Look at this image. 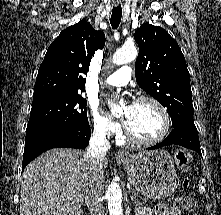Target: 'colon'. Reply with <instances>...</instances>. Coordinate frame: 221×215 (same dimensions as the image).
<instances>
[{
	"instance_id": "5ec220e1",
	"label": "colon",
	"mask_w": 221,
	"mask_h": 215,
	"mask_svg": "<svg viewBox=\"0 0 221 215\" xmlns=\"http://www.w3.org/2000/svg\"><path fill=\"white\" fill-rule=\"evenodd\" d=\"M176 164L181 170H187L192 163V156L184 151L179 150L175 156ZM184 186H188V180L184 181ZM195 200L190 196H183L176 202V206L184 212H192L195 209Z\"/></svg>"
}]
</instances>
